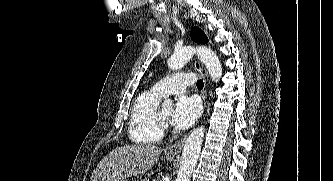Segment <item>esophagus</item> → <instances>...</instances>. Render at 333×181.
Instances as JSON below:
<instances>
[{
  "mask_svg": "<svg viewBox=\"0 0 333 181\" xmlns=\"http://www.w3.org/2000/svg\"><path fill=\"white\" fill-rule=\"evenodd\" d=\"M196 71L202 76L204 80V89L202 91V99H203V104L204 107L206 106V98H207V87H206V77L202 71V68L200 66V63L198 61H195L194 63ZM187 136H184L180 140L176 141L175 143L169 145L168 147V153L172 155L179 154L182 151L183 145L185 143Z\"/></svg>",
  "mask_w": 333,
  "mask_h": 181,
  "instance_id": "obj_1",
  "label": "esophagus"
}]
</instances>
